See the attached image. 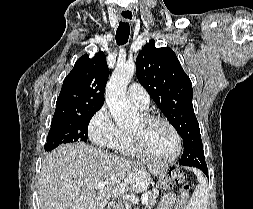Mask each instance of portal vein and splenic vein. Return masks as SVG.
<instances>
[{
	"instance_id": "18ae733b",
	"label": "portal vein and splenic vein",
	"mask_w": 253,
	"mask_h": 209,
	"mask_svg": "<svg viewBox=\"0 0 253 209\" xmlns=\"http://www.w3.org/2000/svg\"><path fill=\"white\" fill-rule=\"evenodd\" d=\"M105 186H106V182H98V183L96 184V189H97V190H100V189L105 188ZM118 191H119L118 189H114V190H113V193H114V194H118ZM147 200H148V193H144V194L141 196L142 204H145Z\"/></svg>"
}]
</instances>
